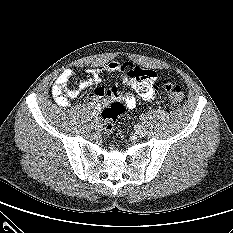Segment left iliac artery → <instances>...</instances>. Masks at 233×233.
<instances>
[{"mask_svg": "<svg viewBox=\"0 0 233 233\" xmlns=\"http://www.w3.org/2000/svg\"><path fill=\"white\" fill-rule=\"evenodd\" d=\"M140 119H141V120H145V115H141V116H140Z\"/></svg>", "mask_w": 233, "mask_h": 233, "instance_id": "left-iliac-artery-1", "label": "left iliac artery"}]
</instances>
